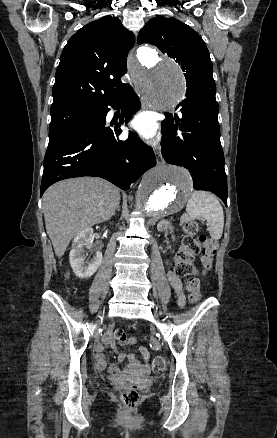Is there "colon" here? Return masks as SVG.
<instances>
[{
  "label": "colon",
  "mask_w": 277,
  "mask_h": 438,
  "mask_svg": "<svg viewBox=\"0 0 277 438\" xmlns=\"http://www.w3.org/2000/svg\"><path fill=\"white\" fill-rule=\"evenodd\" d=\"M181 229L184 233L181 245L176 254V274L180 278H187L186 288L191 301H198L201 298L200 280L192 275L196 271L194 265L195 257L200 254L202 259V269L209 271L212 266L213 256L216 250L215 242L212 238L199 234V224L194 221L183 219ZM115 338L120 343L134 344L133 338H128L126 332L121 328L114 331ZM165 361L162 357H155L153 360V370L161 373L164 370ZM117 398H121L124 409H139L140 389H117Z\"/></svg>",
  "instance_id": "1"
}]
</instances>
